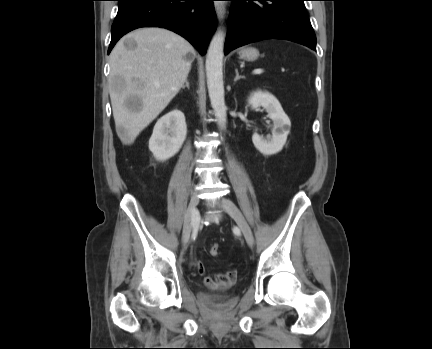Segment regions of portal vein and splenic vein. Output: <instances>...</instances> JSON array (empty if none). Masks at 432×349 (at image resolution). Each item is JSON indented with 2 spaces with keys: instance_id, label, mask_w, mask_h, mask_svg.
I'll return each instance as SVG.
<instances>
[{
  "instance_id": "18ae733b",
  "label": "portal vein and splenic vein",
  "mask_w": 432,
  "mask_h": 349,
  "mask_svg": "<svg viewBox=\"0 0 432 349\" xmlns=\"http://www.w3.org/2000/svg\"><path fill=\"white\" fill-rule=\"evenodd\" d=\"M263 69L262 68H258V69H255L254 71H253V73L254 74H261V73H263Z\"/></svg>"
}]
</instances>
